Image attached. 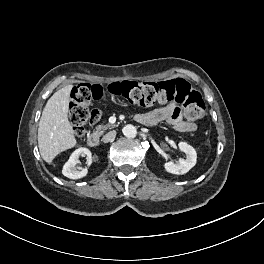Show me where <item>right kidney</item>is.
I'll use <instances>...</instances> for the list:
<instances>
[{"label":"right kidney","instance_id":"right-kidney-1","mask_svg":"<svg viewBox=\"0 0 264 264\" xmlns=\"http://www.w3.org/2000/svg\"><path fill=\"white\" fill-rule=\"evenodd\" d=\"M80 156H86L88 165L92 163L90 150L85 147H80L71 154L69 160L63 166L62 174L64 176L70 179H80L87 175V168L78 169L76 167Z\"/></svg>","mask_w":264,"mask_h":264}]
</instances>
